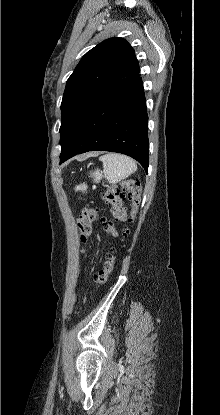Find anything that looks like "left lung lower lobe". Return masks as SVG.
<instances>
[{
    "instance_id": "obj_1",
    "label": "left lung lower lobe",
    "mask_w": 220,
    "mask_h": 415,
    "mask_svg": "<svg viewBox=\"0 0 220 415\" xmlns=\"http://www.w3.org/2000/svg\"><path fill=\"white\" fill-rule=\"evenodd\" d=\"M105 150L128 155L148 172V116L139 73L113 81L83 119L60 164L88 151Z\"/></svg>"
}]
</instances>
